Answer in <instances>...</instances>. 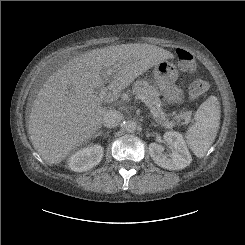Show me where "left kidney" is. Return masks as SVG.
I'll return each mask as SVG.
<instances>
[{
  "label": "left kidney",
  "instance_id": "obj_1",
  "mask_svg": "<svg viewBox=\"0 0 245 245\" xmlns=\"http://www.w3.org/2000/svg\"><path fill=\"white\" fill-rule=\"evenodd\" d=\"M163 139L172 151L169 155L164 154L165 148L161 144H149V154L158 166L169 170H179L191 163L192 157L182 134L169 131L164 134Z\"/></svg>",
  "mask_w": 245,
  "mask_h": 245
}]
</instances>
